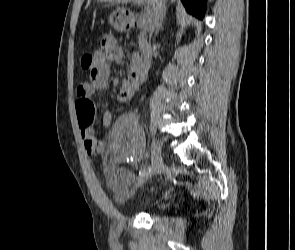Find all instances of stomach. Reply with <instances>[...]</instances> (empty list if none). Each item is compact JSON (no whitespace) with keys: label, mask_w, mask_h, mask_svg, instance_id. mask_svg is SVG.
Listing matches in <instances>:
<instances>
[{"label":"stomach","mask_w":295,"mask_h":250,"mask_svg":"<svg viewBox=\"0 0 295 250\" xmlns=\"http://www.w3.org/2000/svg\"><path fill=\"white\" fill-rule=\"evenodd\" d=\"M110 24L118 31H125L129 26V20L123 11L117 10L110 16Z\"/></svg>","instance_id":"0dacf381"}]
</instances>
